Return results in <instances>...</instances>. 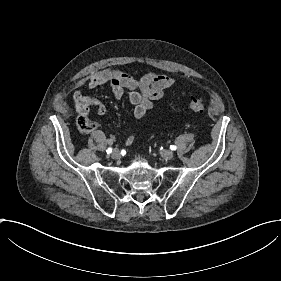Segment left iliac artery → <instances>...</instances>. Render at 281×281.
<instances>
[{
    "label": "left iliac artery",
    "mask_w": 281,
    "mask_h": 281,
    "mask_svg": "<svg viewBox=\"0 0 281 281\" xmlns=\"http://www.w3.org/2000/svg\"><path fill=\"white\" fill-rule=\"evenodd\" d=\"M170 149H171V150H176V149H177V147H176V146H174V145H171V146H170Z\"/></svg>",
    "instance_id": "obj_1"
}]
</instances>
